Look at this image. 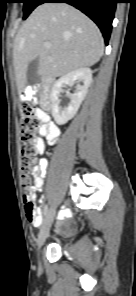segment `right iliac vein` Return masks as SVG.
Here are the masks:
<instances>
[{
  "mask_svg": "<svg viewBox=\"0 0 136 296\" xmlns=\"http://www.w3.org/2000/svg\"><path fill=\"white\" fill-rule=\"evenodd\" d=\"M54 217H55V210L50 209V211H48V215L46 216V218L41 226V229H40V232L38 235L37 246H38L39 253H40L42 246L45 243L46 238L49 235V231H50V228H51L52 223L54 221Z\"/></svg>",
  "mask_w": 136,
  "mask_h": 296,
  "instance_id": "right-iliac-vein-1",
  "label": "right iliac vein"
}]
</instances>
